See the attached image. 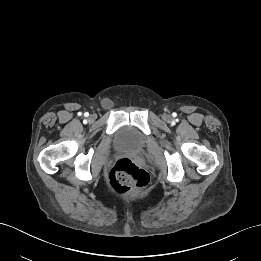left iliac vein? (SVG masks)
<instances>
[{"label":"left iliac vein","mask_w":261,"mask_h":261,"mask_svg":"<svg viewBox=\"0 0 261 261\" xmlns=\"http://www.w3.org/2000/svg\"><path fill=\"white\" fill-rule=\"evenodd\" d=\"M170 119H171V116H170V115H166V116H165V120H166V121H170Z\"/></svg>","instance_id":"1"}]
</instances>
